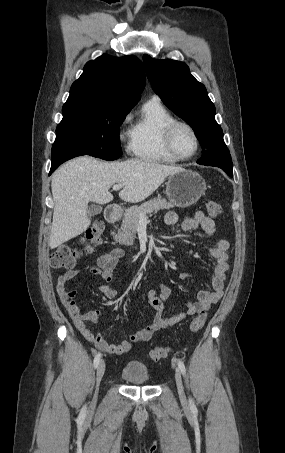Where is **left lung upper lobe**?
<instances>
[{"mask_svg":"<svg viewBox=\"0 0 285 453\" xmlns=\"http://www.w3.org/2000/svg\"><path fill=\"white\" fill-rule=\"evenodd\" d=\"M147 77L155 93L177 116L194 130L202 147L197 163L232 170L230 152L223 131L215 120V106L203 84L198 82L185 63L143 56Z\"/></svg>","mask_w":285,"mask_h":453,"instance_id":"5c2ea615","label":"left lung upper lobe"}]
</instances>
